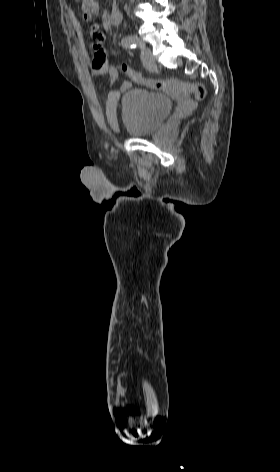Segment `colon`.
<instances>
[{
    "label": "colon",
    "mask_w": 280,
    "mask_h": 472,
    "mask_svg": "<svg viewBox=\"0 0 280 472\" xmlns=\"http://www.w3.org/2000/svg\"><path fill=\"white\" fill-rule=\"evenodd\" d=\"M79 2L82 16L86 20H92L98 13V4L96 0H76ZM122 71L134 83L143 84L150 88L158 89L166 93H175L183 91L191 94L195 99L202 100L205 97V87L200 83L183 82L176 79L160 80L144 76L133 70L128 65H122Z\"/></svg>",
    "instance_id": "obj_1"
}]
</instances>
